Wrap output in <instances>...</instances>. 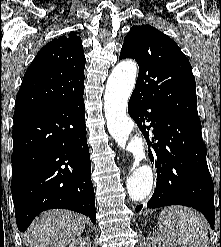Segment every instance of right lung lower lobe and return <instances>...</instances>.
<instances>
[{
	"mask_svg": "<svg viewBox=\"0 0 221 247\" xmlns=\"http://www.w3.org/2000/svg\"><path fill=\"white\" fill-rule=\"evenodd\" d=\"M11 192L18 229L42 211L65 208L96 223L83 96L14 117Z\"/></svg>",
	"mask_w": 221,
	"mask_h": 247,
	"instance_id": "1",
	"label": "right lung lower lobe"
}]
</instances>
